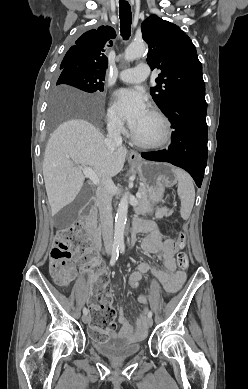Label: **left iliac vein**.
<instances>
[{
  "mask_svg": "<svg viewBox=\"0 0 248 389\" xmlns=\"http://www.w3.org/2000/svg\"><path fill=\"white\" fill-rule=\"evenodd\" d=\"M147 324L149 327L153 325V319L151 317L147 319Z\"/></svg>",
  "mask_w": 248,
  "mask_h": 389,
  "instance_id": "left-iliac-vein-1",
  "label": "left iliac vein"
}]
</instances>
